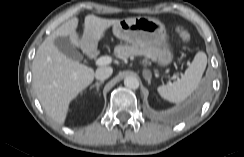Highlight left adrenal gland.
Wrapping results in <instances>:
<instances>
[{
	"label": "left adrenal gland",
	"instance_id": "1",
	"mask_svg": "<svg viewBox=\"0 0 244 157\" xmlns=\"http://www.w3.org/2000/svg\"><path fill=\"white\" fill-rule=\"evenodd\" d=\"M145 73L147 74L146 80L148 81V84H150L151 83V73L149 71H145Z\"/></svg>",
	"mask_w": 244,
	"mask_h": 157
}]
</instances>
